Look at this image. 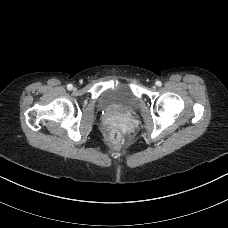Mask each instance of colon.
Segmentation results:
<instances>
[{
  "mask_svg": "<svg viewBox=\"0 0 228 228\" xmlns=\"http://www.w3.org/2000/svg\"><path fill=\"white\" fill-rule=\"evenodd\" d=\"M108 140L113 147H120L123 143V135L119 129L114 128L109 133Z\"/></svg>",
  "mask_w": 228,
  "mask_h": 228,
  "instance_id": "colon-1",
  "label": "colon"
}]
</instances>
